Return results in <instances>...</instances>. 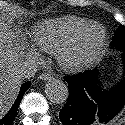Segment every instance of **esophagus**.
<instances>
[{
  "instance_id": "obj_1",
  "label": "esophagus",
  "mask_w": 125,
  "mask_h": 125,
  "mask_svg": "<svg viewBox=\"0 0 125 125\" xmlns=\"http://www.w3.org/2000/svg\"><path fill=\"white\" fill-rule=\"evenodd\" d=\"M39 78H40L41 80L46 81V80H49V79L51 78V75H49L48 73H42V74L39 76Z\"/></svg>"
}]
</instances>
